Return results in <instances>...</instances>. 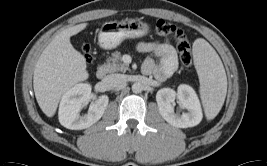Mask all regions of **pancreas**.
<instances>
[{
  "label": "pancreas",
  "mask_w": 267,
  "mask_h": 166,
  "mask_svg": "<svg viewBox=\"0 0 267 166\" xmlns=\"http://www.w3.org/2000/svg\"><path fill=\"white\" fill-rule=\"evenodd\" d=\"M102 67L108 73L126 72L129 70V66L122 62L121 53L118 51L112 53V57H109Z\"/></svg>",
  "instance_id": "1"
}]
</instances>
